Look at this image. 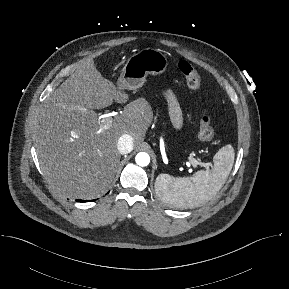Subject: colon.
I'll return each instance as SVG.
<instances>
[{"mask_svg":"<svg viewBox=\"0 0 289 289\" xmlns=\"http://www.w3.org/2000/svg\"><path fill=\"white\" fill-rule=\"evenodd\" d=\"M178 68L191 89H198L201 86V78L195 67L187 60H181ZM215 131L207 113L203 112L199 123V137L203 141L211 142L214 139Z\"/></svg>","mask_w":289,"mask_h":289,"instance_id":"1","label":"colon"}]
</instances>
